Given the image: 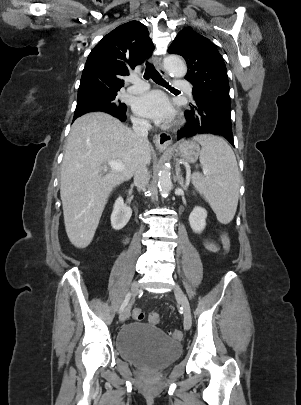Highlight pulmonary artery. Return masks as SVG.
<instances>
[{"instance_id":"1","label":"pulmonary artery","mask_w":301,"mask_h":405,"mask_svg":"<svg viewBox=\"0 0 301 405\" xmlns=\"http://www.w3.org/2000/svg\"><path fill=\"white\" fill-rule=\"evenodd\" d=\"M130 82L132 85L128 88V91L132 94H140L149 89L148 83H146L145 81H143L137 77L131 78ZM174 87L179 90H184L189 94L192 93V87L185 80H176L174 82Z\"/></svg>"}]
</instances>
